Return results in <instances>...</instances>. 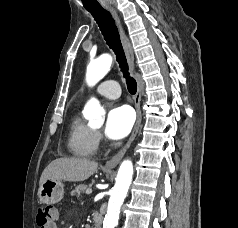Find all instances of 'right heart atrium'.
Here are the masks:
<instances>
[{
    "label": "right heart atrium",
    "mask_w": 238,
    "mask_h": 228,
    "mask_svg": "<svg viewBox=\"0 0 238 228\" xmlns=\"http://www.w3.org/2000/svg\"><path fill=\"white\" fill-rule=\"evenodd\" d=\"M96 136H97V139H98V141L101 139V136H100V134L99 133H96Z\"/></svg>",
    "instance_id": "obj_1"
}]
</instances>
